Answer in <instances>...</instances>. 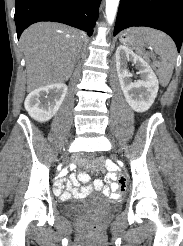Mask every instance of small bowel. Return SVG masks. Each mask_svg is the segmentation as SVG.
I'll use <instances>...</instances> for the list:
<instances>
[{"mask_svg": "<svg viewBox=\"0 0 183 246\" xmlns=\"http://www.w3.org/2000/svg\"><path fill=\"white\" fill-rule=\"evenodd\" d=\"M114 160L102 161V165L113 170L106 175V181L96 179L91 181L86 173L74 174L76 165H67V169H59V174H55V179H59L54 186V193L62 199H70L72 197H83L93 190H100L103 194L117 199L119 193H127V188L132 187V182H128L126 174H122L120 165H114ZM64 174H71L68 179ZM117 179V182L115 181ZM79 182L85 184L84 188H77Z\"/></svg>", "mask_w": 183, "mask_h": 246, "instance_id": "c3829d8e", "label": "small bowel"}]
</instances>
